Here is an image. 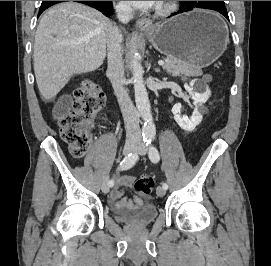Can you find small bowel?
<instances>
[{"instance_id":"small-bowel-1","label":"small bowel","mask_w":271,"mask_h":266,"mask_svg":"<svg viewBox=\"0 0 271 266\" xmlns=\"http://www.w3.org/2000/svg\"><path fill=\"white\" fill-rule=\"evenodd\" d=\"M71 98L64 95L59 98L55 106V117L58 118L69 106ZM135 181L132 175L116 176V184L110 194V203L115 210H136L143 206L144 201L140 196L124 197V188L130 187Z\"/></svg>"}]
</instances>
